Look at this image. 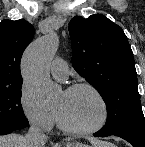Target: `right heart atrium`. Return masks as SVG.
I'll use <instances>...</instances> for the list:
<instances>
[{"mask_svg":"<svg viewBox=\"0 0 145 147\" xmlns=\"http://www.w3.org/2000/svg\"><path fill=\"white\" fill-rule=\"evenodd\" d=\"M18 103L23 117L30 125L43 131H50L53 128L56 121L55 112L41 106L25 83L20 87Z\"/></svg>","mask_w":145,"mask_h":147,"instance_id":"right-heart-atrium-1","label":"right heart atrium"}]
</instances>
